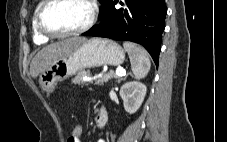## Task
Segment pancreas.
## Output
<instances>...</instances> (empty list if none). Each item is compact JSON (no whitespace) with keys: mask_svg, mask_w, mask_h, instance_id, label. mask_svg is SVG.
Masks as SVG:
<instances>
[{"mask_svg":"<svg viewBox=\"0 0 227 142\" xmlns=\"http://www.w3.org/2000/svg\"><path fill=\"white\" fill-rule=\"evenodd\" d=\"M90 76V73L85 70H81L77 73V75L72 79V84L75 85H81L84 83L83 77ZM116 77L114 74H104L99 79L95 80V85H103L104 83H107L111 78Z\"/></svg>","mask_w":227,"mask_h":142,"instance_id":"cf45deb5","label":"pancreas"}]
</instances>
